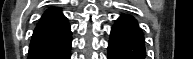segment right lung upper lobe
Returning a JSON list of instances; mask_svg holds the SVG:
<instances>
[{"instance_id":"1","label":"right lung upper lobe","mask_w":193,"mask_h":59,"mask_svg":"<svg viewBox=\"0 0 193 59\" xmlns=\"http://www.w3.org/2000/svg\"><path fill=\"white\" fill-rule=\"evenodd\" d=\"M70 31L68 20L59 8H50L37 24L30 45L57 39Z\"/></svg>"}]
</instances>
